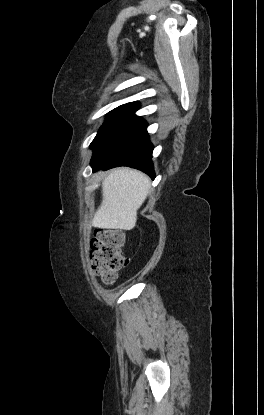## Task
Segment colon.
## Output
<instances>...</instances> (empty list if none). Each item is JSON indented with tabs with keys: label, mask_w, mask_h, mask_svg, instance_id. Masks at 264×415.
Instances as JSON below:
<instances>
[{
	"label": "colon",
	"mask_w": 264,
	"mask_h": 415,
	"mask_svg": "<svg viewBox=\"0 0 264 415\" xmlns=\"http://www.w3.org/2000/svg\"><path fill=\"white\" fill-rule=\"evenodd\" d=\"M125 234L115 229H97L90 249L91 270L103 283L113 284L126 263L122 249Z\"/></svg>",
	"instance_id": "5ec220e1"
}]
</instances>
